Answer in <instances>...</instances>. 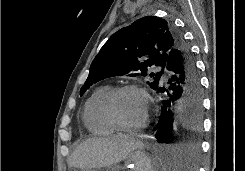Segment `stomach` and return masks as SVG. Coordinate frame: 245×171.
<instances>
[{"instance_id": "1", "label": "stomach", "mask_w": 245, "mask_h": 171, "mask_svg": "<svg viewBox=\"0 0 245 171\" xmlns=\"http://www.w3.org/2000/svg\"><path fill=\"white\" fill-rule=\"evenodd\" d=\"M126 166L130 167V171H156L157 163L152 157H150L144 146L142 148L133 150L127 159ZM69 171H95L91 169H75L72 168ZM118 171V170H116Z\"/></svg>"}]
</instances>
